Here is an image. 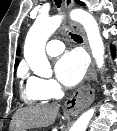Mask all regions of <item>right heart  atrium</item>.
<instances>
[{
    "label": "right heart atrium",
    "instance_id": "d8ad5b80",
    "mask_svg": "<svg viewBox=\"0 0 117 131\" xmlns=\"http://www.w3.org/2000/svg\"><path fill=\"white\" fill-rule=\"evenodd\" d=\"M38 89L48 98H56L61 93V87L53 79L31 77Z\"/></svg>",
    "mask_w": 117,
    "mask_h": 131
}]
</instances>
